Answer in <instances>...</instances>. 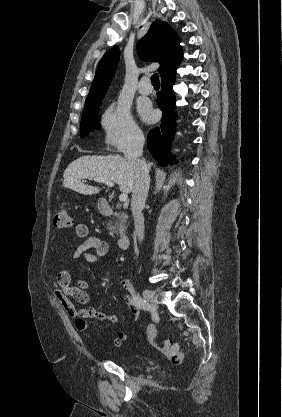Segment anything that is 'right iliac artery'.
<instances>
[{
  "mask_svg": "<svg viewBox=\"0 0 282 417\" xmlns=\"http://www.w3.org/2000/svg\"><path fill=\"white\" fill-rule=\"evenodd\" d=\"M133 301H134V304L138 307V308H140V309H143V310H148L149 309V303L146 301V300H144L140 295H136V296H134V298H133Z\"/></svg>",
  "mask_w": 282,
  "mask_h": 417,
  "instance_id": "1",
  "label": "right iliac artery"
}]
</instances>
